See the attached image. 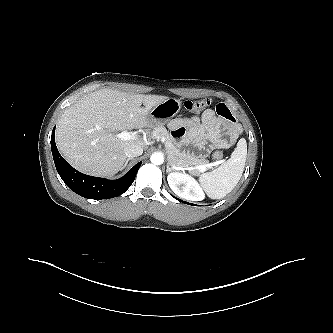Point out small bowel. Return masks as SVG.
<instances>
[{"label": "small bowel", "mask_w": 333, "mask_h": 333, "mask_svg": "<svg viewBox=\"0 0 333 333\" xmlns=\"http://www.w3.org/2000/svg\"><path fill=\"white\" fill-rule=\"evenodd\" d=\"M170 129L198 156H206L216 148L232 146L241 130L224 103H219L215 109L205 110L200 118L174 119L170 122Z\"/></svg>", "instance_id": "obj_1"}]
</instances>
